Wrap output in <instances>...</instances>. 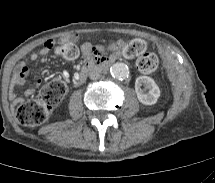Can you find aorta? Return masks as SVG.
I'll return each mask as SVG.
<instances>
[{"label": "aorta", "instance_id": "aorta-1", "mask_svg": "<svg viewBox=\"0 0 215 183\" xmlns=\"http://www.w3.org/2000/svg\"><path fill=\"white\" fill-rule=\"evenodd\" d=\"M110 73L114 78L124 80L129 76V68L126 64L117 62L111 66Z\"/></svg>", "mask_w": 215, "mask_h": 183}]
</instances>
